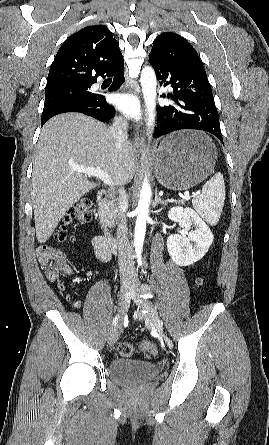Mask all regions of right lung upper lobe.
Segmentation results:
<instances>
[{
  "mask_svg": "<svg viewBox=\"0 0 269 445\" xmlns=\"http://www.w3.org/2000/svg\"><path fill=\"white\" fill-rule=\"evenodd\" d=\"M123 62L119 44L104 25L87 26L72 34L51 64L47 88L96 82Z\"/></svg>",
  "mask_w": 269,
  "mask_h": 445,
  "instance_id": "1",
  "label": "right lung upper lobe"
}]
</instances>
